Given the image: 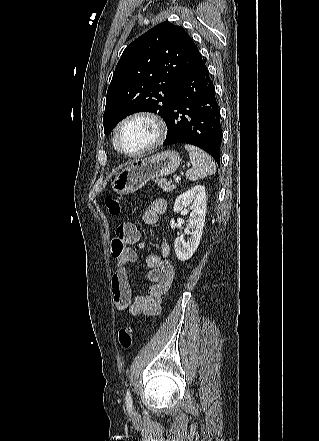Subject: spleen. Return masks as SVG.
<instances>
[{"label":"spleen","instance_id":"1","mask_svg":"<svg viewBox=\"0 0 319 441\" xmlns=\"http://www.w3.org/2000/svg\"><path fill=\"white\" fill-rule=\"evenodd\" d=\"M185 149L191 162V168L186 171L187 179L196 181L216 172L215 163L207 153L193 145H185Z\"/></svg>","mask_w":319,"mask_h":441}]
</instances>
